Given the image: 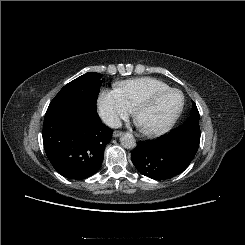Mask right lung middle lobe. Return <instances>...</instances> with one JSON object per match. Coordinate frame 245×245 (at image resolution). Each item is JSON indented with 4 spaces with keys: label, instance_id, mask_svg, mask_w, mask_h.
<instances>
[{
    "label": "right lung middle lobe",
    "instance_id": "obj_1",
    "mask_svg": "<svg viewBox=\"0 0 245 245\" xmlns=\"http://www.w3.org/2000/svg\"><path fill=\"white\" fill-rule=\"evenodd\" d=\"M101 74L88 72L65 85L51 101L49 107L81 104L96 109Z\"/></svg>",
    "mask_w": 245,
    "mask_h": 245
}]
</instances>
